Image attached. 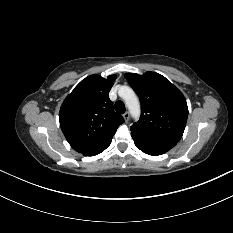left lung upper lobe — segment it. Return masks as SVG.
<instances>
[{"label": "left lung upper lobe", "instance_id": "obj_1", "mask_svg": "<svg viewBox=\"0 0 233 233\" xmlns=\"http://www.w3.org/2000/svg\"><path fill=\"white\" fill-rule=\"evenodd\" d=\"M125 77L141 100L142 113L130 130L137 136L178 142L184 132L188 107L181 91L155 72Z\"/></svg>", "mask_w": 233, "mask_h": 233}]
</instances>
